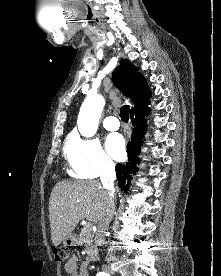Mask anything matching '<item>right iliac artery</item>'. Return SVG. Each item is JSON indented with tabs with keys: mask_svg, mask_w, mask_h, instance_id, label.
Masks as SVG:
<instances>
[{
	"mask_svg": "<svg viewBox=\"0 0 221 276\" xmlns=\"http://www.w3.org/2000/svg\"><path fill=\"white\" fill-rule=\"evenodd\" d=\"M97 276H109V275L106 274V273L100 272V273L97 274Z\"/></svg>",
	"mask_w": 221,
	"mask_h": 276,
	"instance_id": "obj_1",
	"label": "right iliac artery"
}]
</instances>
